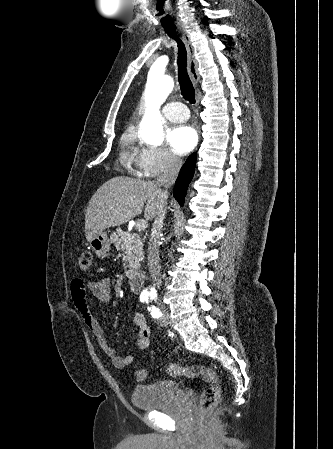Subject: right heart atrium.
Segmentation results:
<instances>
[{
    "label": "right heart atrium",
    "instance_id": "d8ad5b80",
    "mask_svg": "<svg viewBox=\"0 0 333 449\" xmlns=\"http://www.w3.org/2000/svg\"><path fill=\"white\" fill-rule=\"evenodd\" d=\"M133 161L139 175L156 178L166 173H174L181 167V159L164 146H141L133 154Z\"/></svg>",
    "mask_w": 333,
    "mask_h": 449
}]
</instances>
